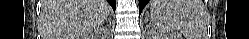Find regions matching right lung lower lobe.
<instances>
[{
    "mask_svg": "<svg viewBox=\"0 0 249 39\" xmlns=\"http://www.w3.org/2000/svg\"><path fill=\"white\" fill-rule=\"evenodd\" d=\"M108 2L112 6V8L115 10V8H116V2H115V0H108Z\"/></svg>",
    "mask_w": 249,
    "mask_h": 39,
    "instance_id": "right-lung-lower-lobe-1",
    "label": "right lung lower lobe"
}]
</instances>
